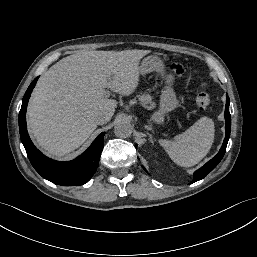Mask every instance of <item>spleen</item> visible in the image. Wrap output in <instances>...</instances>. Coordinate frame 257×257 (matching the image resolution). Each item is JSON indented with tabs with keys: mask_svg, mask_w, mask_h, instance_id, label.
Returning <instances> with one entry per match:
<instances>
[{
	"mask_svg": "<svg viewBox=\"0 0 257 257\" xmlns=\"http://www.w3.org/2000/svg\"><path fill=\"white\" fill-rule=\"evenodd\" d=\"M214 137V121L204 116L185 132L175 136L174 140H163L161 144L177 165L192 167L208 154Z\"/></svg>",
	"mask_w": 257,
	"mask_h": 257,
	"instance_id": "obj_1",
	"label": "spleen"
}]
</instances>
